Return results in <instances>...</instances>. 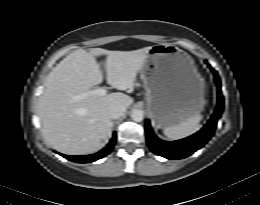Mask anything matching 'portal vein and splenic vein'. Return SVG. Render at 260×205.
Segmentation results:
<instances>
[{
  "label": "portal vein and splenic vein",
  "instance_id": "1",
  "mask_svg": "<svg viewBox=\"0 0 260 205\" xmlns=\"http://www.w3.org/2000/svg\"><path fill=\"white\" fill-rule=\"evenodd\" d=\"M107 89L106 88H98V89H95L93 91H90V92H87V93H83V94H80V95H76L73 97V99L75 101H79V100H82L84 98H86L87 96H91V95H100V96H104L107 94Z\"/></svg>",
  "mask_w": 260,
  "mask_h": 205
}]
</instances>
